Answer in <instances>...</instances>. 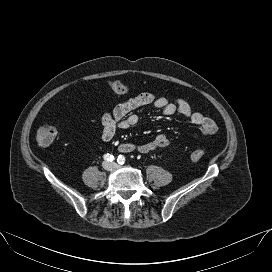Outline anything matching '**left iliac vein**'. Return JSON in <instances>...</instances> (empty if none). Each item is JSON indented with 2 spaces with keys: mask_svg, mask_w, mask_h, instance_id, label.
<instances>
[{
  "mask_svg": "<svg viewBox=\"0 0 272 272\" xmlns=\"http://www.w3.org/2000/svg\"><path fill=\"white\" fill-rule=\"evenodd\" d=\"M112 165H113L114 168H117V167H118V165L115 164V163H112Z\"/></svg>",
  "mask_w": 272,
  "mask_h": 272,
  "instance_id": "1",
  "label": "left iliac vein"
}]
</instances>
